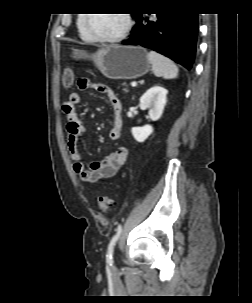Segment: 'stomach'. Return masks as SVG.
I'll list each match as a JSON object with an SVG mask.
<instances>
[{"label": "stomach", "mask_w": 252, "mask_h": 303, "mask_svg": "<svg viewBox=\"0 0 252 303\" xmlns=\"http://www.w3.org/2000/svg\"><path fill=\"white\" fill-rule=\"evenodd\" d=\"M73 59H91L100 72L109 79H136L150 69L148 54L140 46L110 45L93 54L72 49Z\"/></svg>", "instance_id": "1"}]
</instances>
